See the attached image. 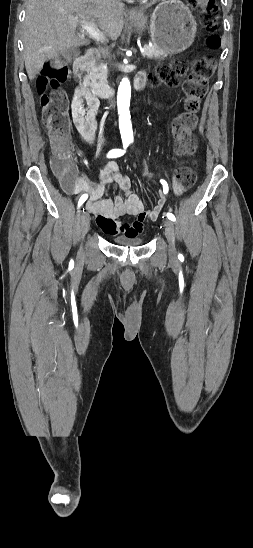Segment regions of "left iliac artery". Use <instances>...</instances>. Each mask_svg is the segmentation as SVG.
Listing matches in <instances>:
<instances>
[{"label": "left iliac artery", "mask_w": 253, "mask_h": 548, "mask_svg": "<svg viewBox=\"0 0 253 548\" xmlns=\"http://www.w3.org/2000/svg\"><path fill=\"white\" fill-rule=\"evenodd\" d=\"M160 182H161V184L163 185L164 192H165V193L168 192V185H167L166 181H165V180H160ZM166 216H167V218H168L169 220H171V221H175V220H176L175 216H174L172 213H170V212L167 213ZM180 257H182L181 254L179 255V258H180Z\"/></svg>", "instance_id": "left-iliac-artery-1"}]
</instances>
